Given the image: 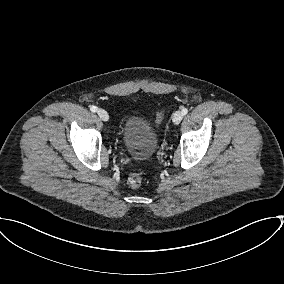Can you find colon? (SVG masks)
Segmentation results:
<instances>
[{"mask_svg":"<svg viewBox=\"0 0 284 284\" xmlns=\"http://www.w3.org/2000/svg\"><path fill=\"white\" fill-rule=\"evenodd\" d=\"M161 119H162V112H158L157 115H156V124L157 125L160 123ZM142 182H143V176H142L141 173H133L129 177V184L133 188L140 187Z\"/></svg>","mask_w":284,"mask_h":284,"instance_id":"colon-1","label":"colon"}]
</instances>
